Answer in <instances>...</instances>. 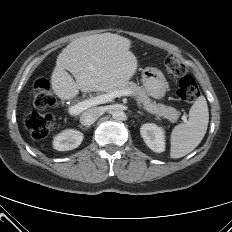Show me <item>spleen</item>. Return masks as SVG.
I'll return each mask as SVG.
<instances>
[{
  "mask_svg": "<svg viewBox=\"0 0 232 232\" xmlns=\"http://www.w3.org/2000/svg\"><path fill=\"white\" fill-rule=\"evenodd\" d=\"M208 122L207 101L204 96H200L189 111L188 122L178 124L172 130L170 157L181 158L193 151L206 134Z\"/></svg>",
  "mask_w": 232,
  "mask_h": 232,
  "instance_id": "1",
  "label": "spleen"
}]
</instances>
